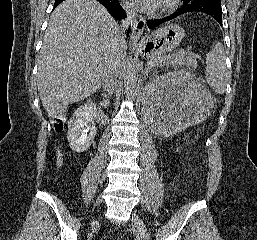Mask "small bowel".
Masks as SVG:
<instances>
[{
	"label": "small bowel",
	"mask_w": 257,
	"mask_h": 240,
	"mask_svg": "<svg viewBox=\"0 0 257 240\" xmlns=\"http://www.w3.org/2000/svg\"><path fill=\"white\" fill-rule=\"evenodd\" d=\"M57 154H58L59 157L61 156L62 153H61V149L60 148L57 149Z\"/></svg>",
	"instance_id": "1"
}]
</instances>
